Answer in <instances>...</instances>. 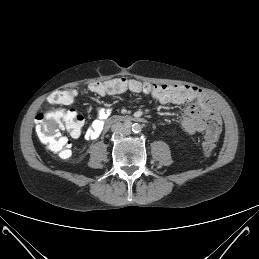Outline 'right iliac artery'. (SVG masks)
<instances>
[{
  "instance_id": "obj_1",
  "label": "right iliac artery",
  "mask_w": 259,
  "mask_h": 259,
  "mask_svg": "<svg viewBox=\"0 0 259 259\" xmlns=\"http://www.w3.org/2000/svg\"><path fill=\"white\" fill-rule=\"evenodd\" d=\"M126 126L128 127V128H130L131 126H133L131 123H128V124H126Z\"/></svg>"
}]
</instances>
